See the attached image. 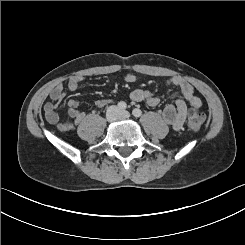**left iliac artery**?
I'll return each instance as SVG.
<instances>
[{
	"instance_id": "44dca946",
	"label": "left iliac artery",
	"mask_w": 245,
	"mask_h": 245,
	"mask_svg": "<svg viewBox=\"0 0 245 245\" xmlns=\"http://www.w3.org/2000/svg\"><path fill=\"white\" fill-rule=\"evenodd\" d=\"M133 116L140 117L142 115V111L139 108H135L132 111Z\"/></svg>"
}]
</instances>
